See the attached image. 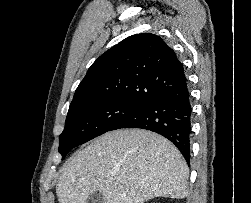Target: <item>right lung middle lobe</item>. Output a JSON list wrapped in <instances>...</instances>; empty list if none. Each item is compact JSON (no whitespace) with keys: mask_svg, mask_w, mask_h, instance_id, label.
<instances>
[{"mask_svg":"<svg viewBox=\"0 0 251 203\" xmlns=\"http://www.w3.org/2000/svg\"><path fill=\"white\" fill-rule=\"evenodd\" d=\"M143 104L124 101H94L70 105L65 128L60 135L62 159L70 149L111 131L124 118Z\"/></svg>","mask_w":251,"mask_h":203,"instance_id":"obj_1","label":"right lung middle lobe"}]
</instances>
